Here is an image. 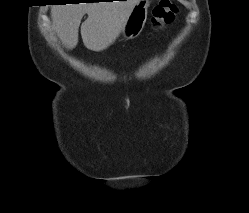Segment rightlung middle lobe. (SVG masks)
I'll use <instances>...</instances> for the list:
<instances>
[{
	"label": "right lung middle lobe",
	"instance_id": "dd1d6c3e",
	"mask_svg": "<svg viewBox=\"0 0 249 213\" xmlns=\"http://www.w3.org/2000/svg\"><path fill=\"white\" fill-rule=\"evenodd\" d=\"M59 1L60 3H66V2H76L77 0H56Z\"/></svg>",
	"mask_w": 249,
	"mask_h": 213
}]
</instances>
